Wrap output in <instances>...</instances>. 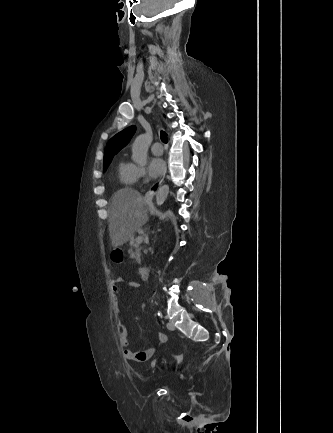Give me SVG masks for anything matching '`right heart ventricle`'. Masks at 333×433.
Wrapping results in <instances>:
<instances>
[{"instance_id": "obj_1", "label": "right heart ventricle", "mask_w": 333, "mask_h": 433, "mask_svg": "<svg viewBox=\"0 0 333 433\" xmlns=\"http://www.w3.org/2000/svg\"><path fill=\"white\" fill-rule=\"evenodd\" d=\"M118 179L122 186L130 187L137 181L135 165L126 160H119L117 163Z\"/></svg>"}]
</instances>
